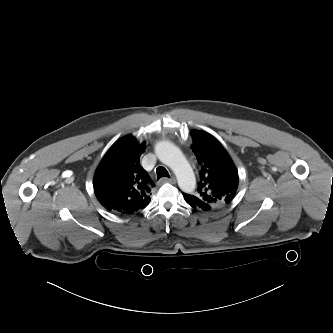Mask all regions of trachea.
I'll return each instance as SVG.
<instances>
[{
	"mask_svg": "<svg viewBox=\"0 0 333 333\" xmlns=\"http://www.w3.org/2000/svg\"><path fill=\"white\" fill-rule=\"evenodd\" d=\"M156 173H157V179L158 180L161 177H168V178H170L168 171L166 170V168H164L162 166L157 167Z\"/></svg>",
	"mask_w": 333,
	"mask_h": 333,
	"instance_id": "1",
	"label": "trachea"
}]
</instances>
